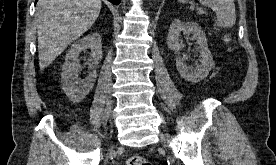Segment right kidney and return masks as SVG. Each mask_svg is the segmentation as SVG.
<instances>
[{"mask_svg": "<svg viewBox=\"0 0 276 165\" xmlns=\"http://www.w3.org/2000/svg\"><path fill=\"white\" fill-rule=\"evenodd\" d=\"M86 49L91 50L92 61L96 66L102 59L101 37L98 33L79 39L66 54L61 73V85L67 97L73 102H81L89 94L97 77L94 71L84 80L78 79V73L81 70L79 54Z\"/></svg>", "mask_w": 276, "mask_h": 165, "instance_id": "obj_1", "label": "right kidney"}]
</instances>
